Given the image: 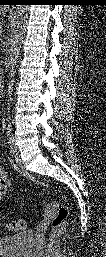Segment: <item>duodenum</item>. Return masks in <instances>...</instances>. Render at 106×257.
<instances>
[{
  "instance_id": "1",
  "label": "duodenum",
  "mask_w": 106,
  "mask_h": 257,
  "mask_svg": "<svg viewBox=\"0 0 106 257\" xmlns=\"http://www.w3.org/2000/svg\"><path fill=\"white\" fill-rule=\"evenodd\" d=\"M2 89H3V84L2 82H0V91H2Z\"/></svg>"
}]
</instances>
